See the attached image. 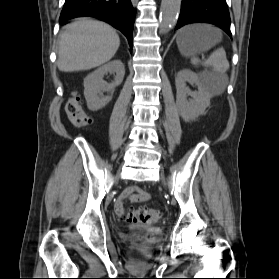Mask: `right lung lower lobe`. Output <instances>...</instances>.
<instances>
[{
    "label": "right lung lower lobe",
    "instance_id": "98d812e1",
    "mask_svg": "<svg viewBox=\"0 0 279 279\" xmlns=\"http://www.w3.org/2000/svg\"><path fill=\"white\" fill-rule=\"evenodd\" d=\"M135 15L131 0H66L59 21L64 25L75 17L99 18L122 31L132 48Z\"/></svg>",
    "mask_w": 279,
    "mask_h": 279
}]
</instances>
